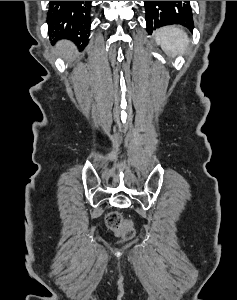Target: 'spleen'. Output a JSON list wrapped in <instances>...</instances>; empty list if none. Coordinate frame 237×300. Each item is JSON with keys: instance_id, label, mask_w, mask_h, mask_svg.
Listing matches in <instances>:
<instances>
[{"instance_id": "spleen-1", "label": "spleen", "mask_w": 237, "mask_h": 300, "mask_svg": "<svg viewBox=\"0 0 237 300\" xmlns=\"http://www.w3.org/2000/svg\"><path fill=\"white\" fill-rule=\"evenodd\" d=\"M155 37L157 45H160L167 57L174 59L176 55H184L187 51L189 45L188 35L176 25L162 27V29L156 31Z\"/></svg>"}]
</instances>
